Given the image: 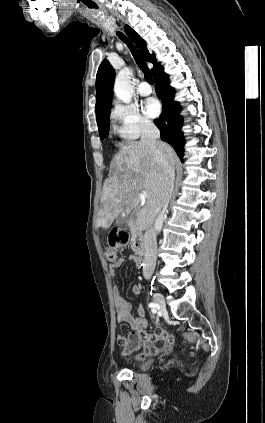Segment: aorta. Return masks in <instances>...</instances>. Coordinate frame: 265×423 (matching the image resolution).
I'll return each instance as SVG.
<instances>
[{
  "mask_svg": "<svg viewBox=\"0 0 265 423\" xmlns=\"http://www.w3.org/2000/svg\"><path fill=\"white\" fill-rule=\"evenodd\" d=\"M131 74L132 71L130 69L124 68L119 71L115 79L114 93L124 103H129L133 96Z\"/></svg>",
  "mask_w": 265,
  "mask_h": 423,
  "instance_id": "1",
  "label": "aorta"
}]
</instances>
